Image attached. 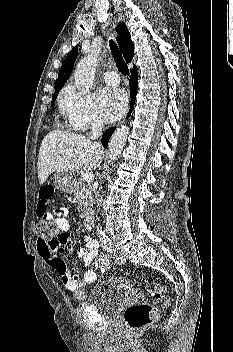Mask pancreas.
Masks as SVG:
<instances>
[{"label": "pancreas", "mask_w": 233, "mask_h": 352, "mask_svg": "<svg viewBox=\"0 0 233 352\" xmlns=\"http://www.w3.org/2000/svg\"><path fill=\"white\" fill-rule=\"evenodd\" d=\"M74 195L78 200V209L85 211L92 201V186L85 184L82 180H74Z\"/></svg>", "instance_id": "obj_1"}]
</instances>
